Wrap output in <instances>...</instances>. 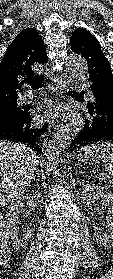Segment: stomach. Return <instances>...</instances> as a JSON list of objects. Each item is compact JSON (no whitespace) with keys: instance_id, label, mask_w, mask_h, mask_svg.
Returning <instances> with one entry per match:
<instances>
[{"instance_id":"1","label":"stomach","mask_w":113,"mask_h":279,"mask_svg":"<svg viewBox=\"0 0 113 279\" xmlns=\"http://www.w3.org/2000/svg\"><path fill=\"white\" fill-rule=\"evenodd\" d=\"M93 156H94L93 153H85V152L80 151L77 154V159L79 162L87 163L91 160V157H93Z\"/></svg>"}]
</instances>
